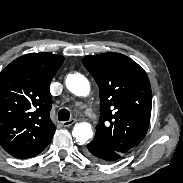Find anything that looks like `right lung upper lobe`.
Listing matches in <instances>:
<instances>
[{
  "mask_svg": "<svg viewBox=\"0 0 183 183\" xmlns=\"http://www.w3.org/2000/svg\"><path fill=\"white\" fill-rule=\"evenodd\" d=\"M64 57L30 53L11 62L0 74V144L25 159L41 153L56 130L50 119V82Z\"/></svg>",
  "mask_w": 183,
  "mask_h": 183,
  "instance_id": "1",
  "label": "right lung upper lobe"
}]
</instances>
